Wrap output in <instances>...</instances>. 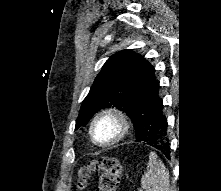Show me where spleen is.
Masks as SVG:
<instances>
[{"label": "spleen", "instance_id": "3e777b00", "mask_svg": "<svg viewBox=\"0 0 221 191\" xmlns=\"http://www.w3.org/2000/svg\"><path fill=\"white\" fill-rule=\"evenodd\" d=\"M169 172L158 156L151 152L147 171L141 178L139 191H170Z\"/></svg>", "mask_w": 221, "mask_h": 191}]
</instances>
